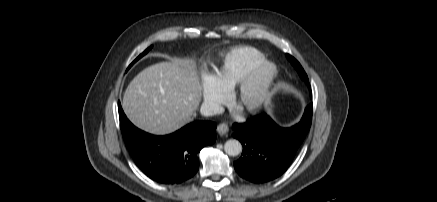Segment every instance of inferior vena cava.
<instances>
[{"instance_id":"inferior-vena-cava-1","label":"inferior vena cava","mask_w":437,"mask_h":202,"mask_svg":"<svg viewBox=\"0 0 437 202\" xmlns=\"http://www.w3.org/2000/svg\"><path fill=\"white\" fill-rule=\"evenodd\" d=\"M222 107L219 104L213 102H204L201 105L200 112L204 116H213L221 113Z\"/></svg>"}]
</instances>
